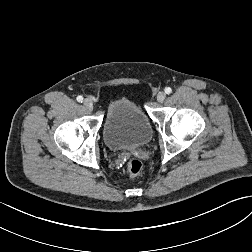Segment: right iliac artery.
I'll return each instance as SVG.
<instances>
[{
	"label": "right iliac artery",
	"mask_w": 252,
	"mask_h": 252,
	"mask_svg": "<svg viewBox=\"0 0 252 252\" xmlns=\"http://www.w3.org/2000/svg\"><path fill=\"white\" fill-rule=\"evenodd\" d=\"M76 99H77L78 102H82L83 101V97L82 96H78Z\"/></svg>",
	"instance_id": "1"
}]
</instances>
